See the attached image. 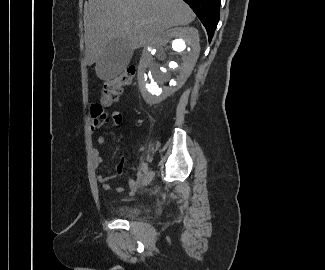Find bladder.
I'll use <instances>...</instances> for the list:
<instances>
[{
    "label": "bladder",
    "instance_id": "31cf9c89",
    "mask_svg": "<svg viewBox=\"0 0 325 270\" xmlns=\"http://www.w3.org/2000/svg\"><path fill=\"white\" fill-rule=\"evenodd\" d=\"M117 212L122 216H136L142 212V209L138 205H120L117 207Z\"/></svg>",
    "mask_w": 325,
    "mask_h": 270
}]
</instances>
